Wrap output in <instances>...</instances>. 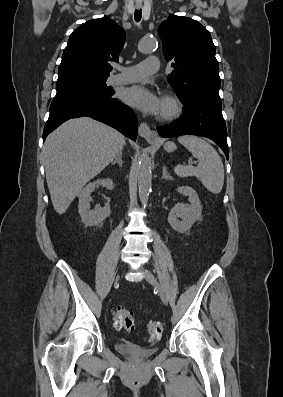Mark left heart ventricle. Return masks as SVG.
Wrapping results in <instances>:
<instances>
[{
	"instance_id": "obj_1",
	"label": "left heart ventricle",
	"mask_w": 283,
	"mask_h": 397,
	"mask_svg": "<svg viewBox=\"0 0 283 397\" xmlns=\"http://www.w3.org/2000/svg\"><path fill=\"white\" fill-rule=\"evenodd\" d=\"M165 109V104H164V102L162 103V111ZM161 111V112H162Z\"/></svg>"
}]
</instances>
